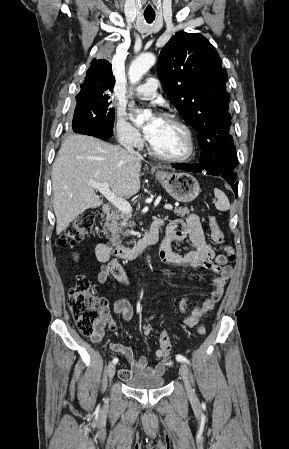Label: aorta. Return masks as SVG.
<instances>
[{
  "label": "aorta",
  "mask_w": 289,
  "mask_h": 449,
  "mask_svg": "<svg viewBox=\"0 0 289 449\" xmlns=\"http://www.w3.org/2000/svg\"><path fill=\"white\" fill-rule=\"evenodd\" d=\"M156 57L152 53H144L137 57L130 65L129 68V80L131 84H136L142 76L155 64ZM144 117H150L151 112L145 110L142 113Z\"/></svg>",
  "instance_id": "obj_1"
}]
</instances>
